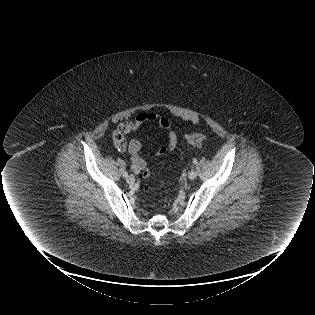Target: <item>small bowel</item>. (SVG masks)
I'll return each mask as SVG.
<instances>
[{"instance_id": "obj_1", "label": "small bowel", "mask_w": 315, "mask_h": 315, "mask_svg": "<svg viewBox=\"0 0 315 315\" xmlns=\"http://www.w3.org/2000/svg\"><path fill=\"white\" fill-rule=\"evenodd\" d=\"M145 123H155L167 134L168 142L157 149V156L164 155L168 151L175 149L177 145V136L171 128L170 121L161 114L155 112L138 113L133 119L121 122L119 129L124 134H128L136 131L141 125ZM141 147V141L137 138H133L129 142L128 151L130 154L131 169L136 174L142 172L146 167V161L140 156Z\"/></svg>"}]
</instances>
